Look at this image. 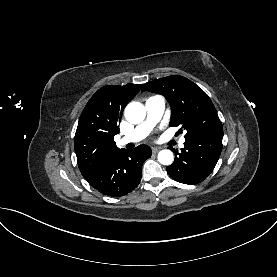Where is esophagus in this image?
I'll use <instances>...</instances> for the list:
<instances>
[{
  "label": "esophagus",
  "mask_w": 277,
  "mask_h": 277,
  "mask_svg": "<svg viewBox=\"0 0 277 277\" xmlns=\"http://www.w3.org/2000/svg\"><path fill=\"white\" fill-rule=\"evenodd\" d=\"M160 147H152V152L153 153H158L160 151Z\"/></svg>",
  "instance_id": "1"
}]
</instances>
